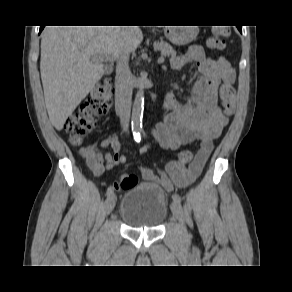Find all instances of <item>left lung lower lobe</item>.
Instances as JSON below:
<instances>
[{
	"label": "left lung lower lobe",
	"instance_id": "left-lung-lower-lobe-1",
	"mask_svg": "<svg viewBox=\"0 0 292 292\" xmlns=\"http://www.w3.org/2000/svg\"><path fill=\"white\" fill-rule=\"evenodd\" d=\"M240 32H242V26L237 27Z\"/></svg>",
	"mask_w": 292,
	"mask_h": 292
}]
</instances>
